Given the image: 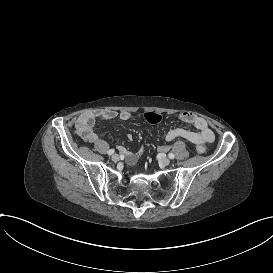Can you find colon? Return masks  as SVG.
Masks as SVG:
<instances>
[{
	"label": "colon",
	"mask_w": 273,
	"mask_h": 273,
	"mask_svg": "<svg viewBox=\"0 0 273 273\" xmlns=\"http://www.w3.org/2000/svg\"><path fill=\"white\" fill-rule=\"evenodd\" d=\"M146 120L151 124H160L163 121V117L159 113H149L146 115ZM146 145L141 143L136 151V159L142 160L145 154Z\"/></svg>",
	"instance_id": "obj_1"
}]
</instances>
